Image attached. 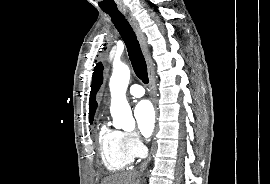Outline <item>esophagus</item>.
Segmentation results:
<instances>
[{
  "label": "esophagus",
  "instance_id": "34e87169",
  "mask_svg": "<svg viewBox=\"0 0 270 184\" xmlns=\"http://www.w3.org/2000/svg\"><path fill=\"white\" fill-rule=\"evenodd\" d=\"M120 10L126 16L128 21L130 22V24L134 28V30L136 32V35L138 37V40L140 42L141 48L143 50V53H144V56H145V59H146V62H147V68H148L149 91H150L152 102H153V104H154V106L156 108L155 80H154L153 70H152V61H151L149 49H148V46H147V43H146V37L142 33L136 19L125 8H121ZM152 150H151V153H152ZM151 153H150L149 157L142 163V165L140 167L141 170H144L146 168L147 164L149 163V161L151 159Z\"/></svg>",
  "mask_w": 270,
  "mask_h": 184
}]
</instances>
